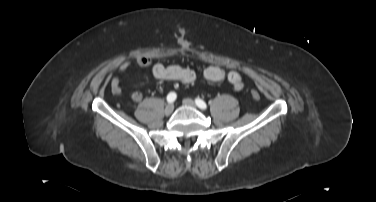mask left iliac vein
I'll use <instances>...</instances> for the list:
<instances>
[{
    "mask_svg": "<svg viewBox=\"0 0 376 202\" xmlns=\"http://www.w3.org/2000/svg\"><path fill=\"white\" fill-rule=\"evenodd\" d=\"M183 104L186 105V106H189V107L196 108V103L190 98H185L183 100Z\"/></svg>",
    "mask_w": 376,
    "mask_h": 202,
    "instance_id": "4c4485c4",
    "label": "left iliac vein"
}]
</instances>
